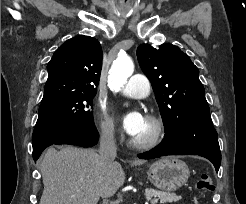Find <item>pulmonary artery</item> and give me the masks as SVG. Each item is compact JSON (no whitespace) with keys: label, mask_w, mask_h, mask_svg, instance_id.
<instances>
[{"label":"pulmonary artery","mask_w":246,"mask_h":204,"mask_svg":"<svg viewBox=\"0 0 246 204\" xmlns=\"http://www.w3.org/2000/svg\"><path fill=\"white\" fill-rule=\"evenodd\" d=\"M122 94L131 98H143L150 93V82L142 74H135L130 77L121 90Z\"/></svg>","instance_id":"obj_1"}]
</instances>
